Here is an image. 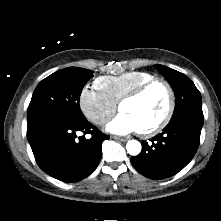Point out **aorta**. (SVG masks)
<instances>
[{"label":"aorta","mask_w":221,"mask_h":221,"mask_svg":"<svg viewBox=\"0 0 221 221\" xmlns=\"http://www.w3.org/2000/svg\"><path fill=\"white\" fill-rule=\"evenodd\" d=\"M141 144L137 140H130L126 144L127 152L132 156H137L141 152Z\"/></svg>","instance_id":"obj_1"}]
</instances>
